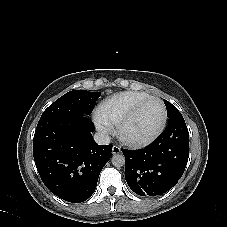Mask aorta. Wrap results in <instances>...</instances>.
<instances>
[{
  "label": "aorta",
  "instance_id": "obj_1",
  "mask_svg": "<svg viewBox=\"0 0 227 227\" xmlns=\"http://www.w3.org/2000/svg\"><path fill=\"white\" fill-rule=\"evenodd\" d=\"M111 162L114 167H122L125 165V157L123 154L120 153L114 154L111 158Z\"/></svg>",
  "mask_w": 227,
  "mask_h": 227
}]
</instances>
